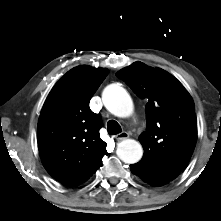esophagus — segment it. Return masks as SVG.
Segmentation results:
<instances>
[{"label":"esophagus","mask_w":221,"mask_h":221,"mask_svg":"<svg viewBox=\"0 0 221 221\" xmlns=\"http://www.w3.org/2000/svg\"><path fill=\"white\" fill-rule=\"evenodd\" d=\"M115 138L118 141L125 140V139L129 138V134L127 132H121L118 135H116Z\"/></svg>","instance_id":"34e87169"}]
</instances>
